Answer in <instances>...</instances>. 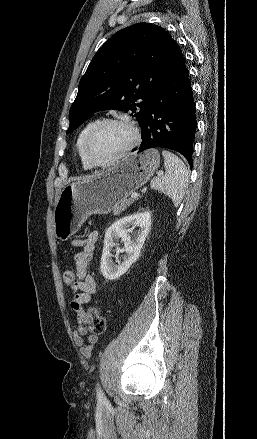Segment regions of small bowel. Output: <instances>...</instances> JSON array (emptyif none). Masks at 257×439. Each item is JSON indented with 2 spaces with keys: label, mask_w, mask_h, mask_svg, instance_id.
Masks as SVG:
<instances>
[{
  "label": "small bowel",
  "mask_w": 257,
  "mask_h": 439,
  "mask_svg": "<svg viewBox=\"0 0 257 439\" xmlns=\"http://www.w3.org/2000/svg\"><path fill=\"white\" fill-rule=\"evenodd\" d=\"M98 239L99 233L92 231L87 236L75 238L71 242L73 247L80 249L74 255L76 282L71 286L73 292L71 308L78 317L74 330V341L86 357L91 356L94 346L98 342V336L90 333L92 327L86 317L85 310V304L90 302L97 288L95 279L88 273V266L93 258Z\"/></svg>",
  "instance_id": "c3829d8e"
}]
</instances>
